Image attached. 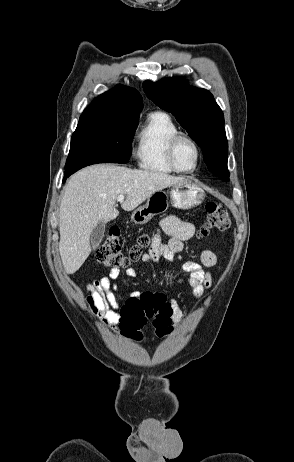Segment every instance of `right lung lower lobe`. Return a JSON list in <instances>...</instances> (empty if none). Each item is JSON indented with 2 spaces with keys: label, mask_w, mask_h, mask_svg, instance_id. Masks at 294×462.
Instances as JSON below:
<instances>
[{
  "label": "right lung lower lobe",
  "mask_w": 294,
  "mask_h": 462,
  "mask_svg": "<svg viewBox=\"0 0 294 462\" xmlns=\"http://www.w3.org/2000/svg\"><path fill=\"white\" fill-rule=\"evenodd\" d=\"M73 174V173H72ZM71 174H65V177L63 178V182H65L66 178L69 177Z\"/></svg>",
  "instance_id": "98d812e1"
}]
</instances>
